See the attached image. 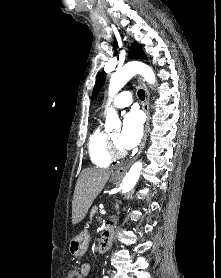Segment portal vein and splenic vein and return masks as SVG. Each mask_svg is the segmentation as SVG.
Returning a JSON list of instances; mask_svg holds the SVG:
<instances>
[{
  "label": "portal vein and splenic vein",
  "mask_w": 221,
  "mask_h": 278,
  "mask_svg": "<svg viewBox=\"0 0 221 278\" xmlns=\"http://www.w3.org/2000/svg\"><path fill=\"white\" fill-rule=\"evenodd\" d=\"M100 213H101L102 215H105V214H106V211H105L104 209H101V210H100Z\"/></svg>",
  "instance_id": "1"
}]
</instances>
